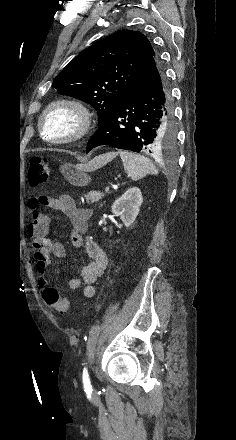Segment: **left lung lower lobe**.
I'll use <instances>...</instances> for the list:
<instances>
[{"label": "left lung lower lobe", "instance_id": "left-lung-lower-lobe-1", "mask_svg": "<svg viewBox=\"0 0 236 440\" xmlns=\"http://www.w3.org/2000/svg\"><path fill=\"white\" fill-rule=\"evenodd\" d=\"M173 139L171 91L165 71L155 57L99 126L87 144V152L99 145L151 152Z\"/></svg>", "mask_w": 236, "mask_h": 440}]
</instances>
